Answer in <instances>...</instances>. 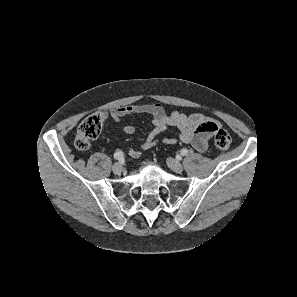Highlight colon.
<instances>
[{"mask_svg":"<svg viewBox=\"0 0 297 297\" xmlns=\"http://www.w3.org/2000/svg\"><path fill=\"white\" fill-rule=\"evenodd\" d=\"M103 113H96L86 117L78 126L75 137V147L80 151H85L90 147V142L97 138L101 132L105 121ZM231 137L227 131L219 129L214 136V145L220 152L229 149Z\"/></svg>","mask_w":297,"mask_h":297,"instance_id":"colon-1","label":"colon"}]
</instances>
